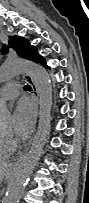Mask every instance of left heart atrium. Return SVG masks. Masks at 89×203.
<instances>
[{
  "instance_id": "39dd6f15",
  "label": "left heart atrium",
  "mask_w": 89,
  "mask_h": 203,
  "mask_svg": "<svg viewBox=\"0 0 89 203\" xmlns=\"http://www.w3.org/2000/svg\"><path fill=\"white\" fill-rule=\"evenodd\" d=\"M35 109L27 100H21L14 112L15 132L21 137H27L35 123Z\"/></svg>"
}]
</instances>
